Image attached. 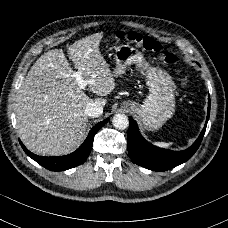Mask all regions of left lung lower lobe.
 <instances>
[{
  "label": "left lung lower lobe",
  "instance_id": "left-lung-lower-lobe-1",
  "mask_svg": "<svg viewBox=\"0 0 228 228\" xmlns=\"http://www.w3.org/2000/svg\"><path fill=\"white\" fill-rule=\"evenodd\" d=\"M209 115L210 97L208 99V112L204 128L197 140L188 149L183 151L162 149L148 143L141 136L136 122L132 117H129V130L127 134L129 157L135 164L153 171H166L186 162L193 156L201 144Z\"/></svg>",
  "mask_w": 228,
  "mask_h": 228
}]
</instances>
